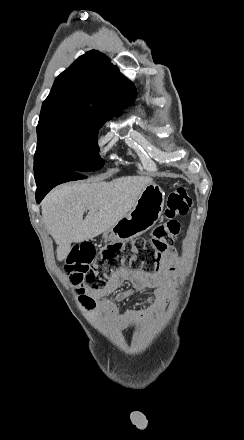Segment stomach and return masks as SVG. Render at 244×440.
Returning <instances> with one entry per match:
<instances>
[{"label": "stomach", "instance_id": "stomach-1", "mask_svg": "<svg viewBox=\"0 0 244 440\" xmlns=\"http://www.w3.org/2000/svg\"><path fill=\"white\" fill-rule=\"evenodd\" d=\"M165 192L158 184H149L142 190L132 210L104 232V242H128L141 236L160 220L164 208Z\"/></svg>", "mask_w": 244, "mask_h": 440}]
</instances>
